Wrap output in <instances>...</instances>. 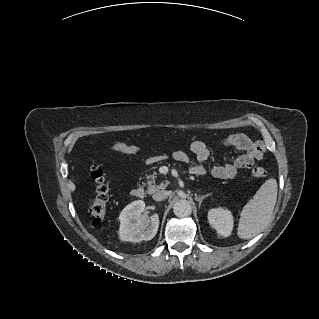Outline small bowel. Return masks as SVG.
Masks as SVG:
<instances>
[{
    "mask_svg": "<svg viewBox=\"0 0 319 319\" xmlns=\"http://www.w3.org/2000/svg\"><path fill=\"white\" fill-rule=\"evenodd\" d=\"M225 147H234L242 150L243 153L237 156L234 161L225 165H213L210 167L211 174L218 179L230 180L237 176L239 169H250L254 163L263 158V146L244 134H232L223 140ZM110 151L127 155H138L140 149L137 146L126 143H112ZM191 152L195 155L197 163L190 168L194 175L205 172V166L210 160V150L202 141H194L190 145ZM173 158L181 163L187 164L191 161L190 156L183 150L173 152Z\"/></svg>",
    "mask_w": 319,
    "mask_h": 319,
    "instance_id": "obj_1",
    "label": "small bowel"
}]
</instances>
